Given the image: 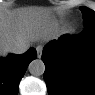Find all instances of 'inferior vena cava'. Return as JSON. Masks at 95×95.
Returning a JSON list of instances; mask_svg holds the SVG:
<instances>
[{
    "label": "inferior vena cava",
    "mask_w": 95,
    "mask_h": 95,
    "mask_svg": "<svg viewBox=\"0 0 95 95\" xmlns=\"http://www.w3.org/2000/svg\"><path fill=\"white\" fill-rule=\"evenodd\" d=\"M29 45L25 42H17L10 47V52L14 54H22L27 51Z\"/></svg>",
    "instance_id": "602c4592"
}]
</instances>
